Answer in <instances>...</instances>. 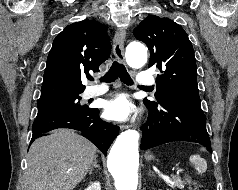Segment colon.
Instances as JSON below:
<instances>
[{
  "label": "colon",
  "mask_w": 238,
  "mask_h": 190,
  "mask_svg": "<svg viewBox=\"0 0 238 190\" xmlns=\"http://www.w3.org/2000/svg\"><path fill=\"white\" fill-rule=\"evenodd\" d=\"M186 182L188 183L190 190H205L202 185L192 181L189 177H186Z\"/></svg>",
  "instance_id": "5ec220e1"
}]
</instances>
